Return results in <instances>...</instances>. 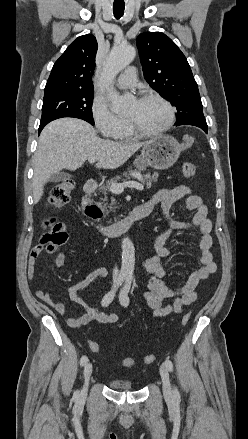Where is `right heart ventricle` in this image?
Wrapping results in <instances>:
<instances>
[{"instance_id":"right-heart-ventricle-1","label":"right heart ventricle","mask_w":248,"mask_h":439,"mask_svg":"<svg viewBox=\"0 0 248 439\" xmlns=\"http://www.w3.org/2000/svg\"><path fill=\"white\" fill-rule=\"evenodd\" d=\"M115 139L120 142H133V141H137L139 139V136L131 130L128 122L126 121L123 129L115 137Z\"/></svg>"}]
</instances>
